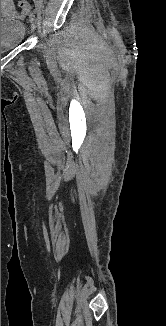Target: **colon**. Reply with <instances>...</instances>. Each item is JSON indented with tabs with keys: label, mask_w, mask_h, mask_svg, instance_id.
Returning <instances> with one entry per match:
<instances>
[{
	"label": "colon",
	"mask_w": 166,
	"mask_h": 326,
	"mask_svg": "<svg viewBox=\"0 0 166 326\" xmlns=\"http://www.w3.org/2000/svg\"><path fill=\"white\" fill-rule=\"evenodd\" d=\"M19 8L22 10H26L27 9V3L25 1H20L18 4Z\"/></svg>",
	"instance_id": "5ec220e1"
}]
</instances>
